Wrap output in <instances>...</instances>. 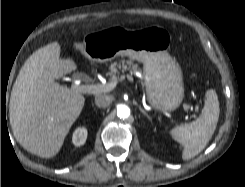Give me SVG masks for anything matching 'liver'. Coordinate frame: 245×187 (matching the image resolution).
<instances>
[{
	"label": "liver",
	"instance_id": "obj_1",
	"mask_svg": "<svg viewBox=\"0 0 245 187\" xmlns=\"http://www.w3.org/2000/svg\"><path fill=\"white\" fill-rule=\"evenodd\" d=\"M60 53L58 42L36 50L21 67L10 96L15 139L42 158L58 154L85 103L81 93L56 82L77 69L72 59H62Z\"/></svg>",
	"mask_w": 245,
	"mask_h": 187
}]
</instances>
